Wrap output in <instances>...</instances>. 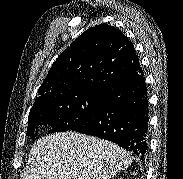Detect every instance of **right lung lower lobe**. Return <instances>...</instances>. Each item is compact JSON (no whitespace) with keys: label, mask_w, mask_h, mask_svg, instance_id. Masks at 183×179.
Wrapping results in <instances>:
<instances>
[{"label":"right lung lower lobe","mask_w":183,"mask_h":179,"mask_svg":"<svg viewBox=\"0 0 183 179\" xmlns=\"http://www.w3.org/2000/svg\"><path fill=\"white\" fill-rule=\"evenodd\" d=\"M148 106L140 67L104 88L94 116L75 131L117 143L143 160L148 150Z\"/></svg>","instance_id":"1"}]
</instances>
